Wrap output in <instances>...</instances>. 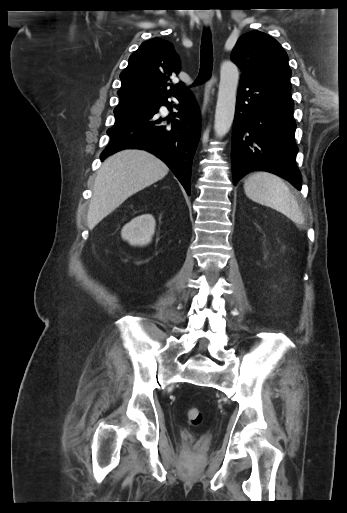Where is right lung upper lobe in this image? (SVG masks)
Wrapping results in <instances>:
<instances>
[{"label":"right lung upper lobe","mask_w":347,"mask_h":513,"mask_svg":"<svg viewBox=\"0 0 347 513\" xmlns=\"http://www.w3.org/2000/svg\"><path fill=\"white\" fill-rule=\"evenodd\" d=\"M178 73L179 58L169 41L153 38L142 43L120 74L119 106L138 107L187 91L182 83L167 89L170 76Z\"/></svg>","instance_id":"obj_1"}]
</instances>
